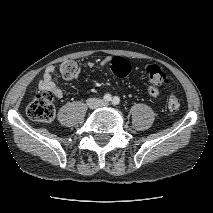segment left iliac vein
I'll return each instance as SVG.
<instances>
[{
	"instance_id": "obj_1",
	"label": "left iliac vein",
	"mask_w": 213,
	"mask_h": 213,
	"mask_svg": "<svg viewBox=\"0 0 213 213\" xmlns=\"http://www.w3.org/2000/svg\"><path fill=\"white\" fill-rule=\"evenodd\" d=\"M108 104L107 103H104V106H107Z\"/></svg>"
}]
</instances>
